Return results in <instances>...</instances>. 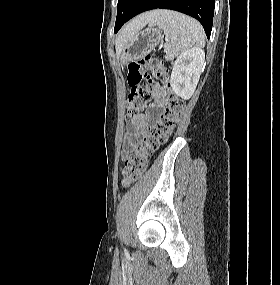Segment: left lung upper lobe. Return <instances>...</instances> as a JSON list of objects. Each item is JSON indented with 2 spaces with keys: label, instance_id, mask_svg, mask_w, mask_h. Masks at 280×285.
<instances>
[{
  "label": "left lung upper lobe",
  "instance_id": "1",
  "mask_svg": "<svg viewBox=\"0 0 280 285\" xmlns=\"http://www.w3.org/2000/svg\"><path fill=\"white\" fill-rule=\"evenodd\" d=\"M137 2L138 0H119L118 1L115 29L119 27L120 25H123L127 21L128 16L130 15L132 9L134 8Z\"/></svg>",
  "mask_w": 280,
  "mask_h": 285
}]
</instances>
